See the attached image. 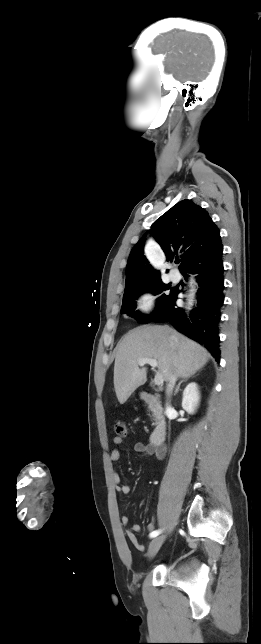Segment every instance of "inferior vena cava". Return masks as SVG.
<instances>
[{
	"mask_svg": "<svg viewBox=\"0 0 261 644\" xmlns=\"http://www.w3.org/2000/svg\"><path fill=\"white\" fill-rule=\"evenodd\" d=\"M175 381H176V377H175V376H172V377H171V379H170V381H169V383L167 384V387H166V394H167L168 396H169V395L171 394V392H172V389H173V387H174V385H175Z\"/></svg>",
	"mask_w": 261,
	"mask_h": 644,
	"instance_id": "inferior-vena-cava-1",
	"label": "inferior vena cava"
}]
</instances>
